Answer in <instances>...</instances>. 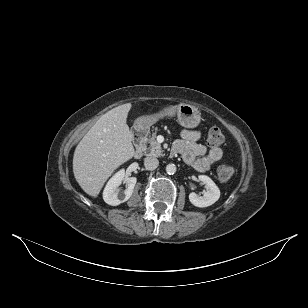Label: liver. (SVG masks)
<instances>
[{
	"instance_id": "liver-1",
	"label": "liver",
	"mask_w": 308,
	"mask_h": 308,
	"mask_svg": "<svg viewBox=\"0 0 308 308\" xmlns=\"http://www.w3.org/2000/svg\"><path fill=\"white\" fill-rule=\"evenodd\" d=\"M131 108L127 103L102 115L75 149V179L92 197L96 198L113 172L134 156L133 134L126 123Z\"/></svg>"
}]
</instances>
